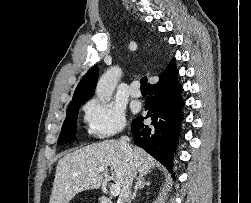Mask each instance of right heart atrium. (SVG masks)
<instances>
[{"mask_svg": "<svg viewBox=\"0 0 251 203\" xmlns=\"http://www.w3.org/2000/svg\"><path fill=\"white\" fill-rule=\"evenodd\" d=\"M85 120L89 132L101 139L118 134L126 124L121 107L96 98L91 99L85 106Z\"/></svg>", "mask_w": 251, "mask_h": 203, "instance_id": "1", "label": "right heart atrium"}]
</instances>
